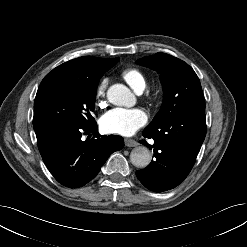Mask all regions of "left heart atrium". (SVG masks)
Here are the masks:
<instances>
[{
	"label": "left heart atrium",
	"instance_id": "left-heart-atrium-1",
	"mask_svg": "<svg viewBox=\"0 0 247 247\" xmlns=\"http://www.w3.org/2000/svg\"><path fill=\"white\" fill-rule=\"evenodd\" d=\"M147 122L146 113L139 108H115L105 113L100 119L104 132L129 136Z\"/></svg>",
	"mask_w": 247,
	"mask_h": 247
}]
</instances>
